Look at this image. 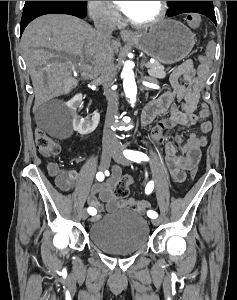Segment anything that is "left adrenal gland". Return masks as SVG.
Returning <instances> with one entry per match:
<instances>
[{
  "mask_svg": "<svg viewBox=\"0 0 237 300\" xmlns=\"http://www.w3.org/2000/svg\"><path fill=\"white\" fill-rule=\"evenodd\" d=\"M145 59L146 57H143L142 61H141V69H143L144 65H145Z\"/></svg>",
  "mask_w": 237,
  "mask_h": 300,
  "instance_id": "a2214340",
  "label": "left adrenal gland"
}]
</instances>
